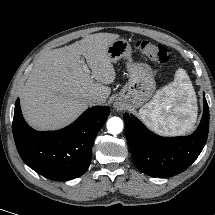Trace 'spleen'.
<instances>
[{
    "label": "spleen",
    "instance_id": "spleen-1",
    "mask_svg": "<svg viewBox=\"0 0 215 215\" xmlns=\"http://www.w3.org/2000/svg\"><path fill=\"white\" fill-rule=\"evenodd\" d=\"M144 123L165 135H183L193 130L196 122V97L184 69H178L174 81L159 90L149 104L139 110Z\"/></svg>",
    "mask_w": 215,
    "mask_h": 215
}]
</instances>
